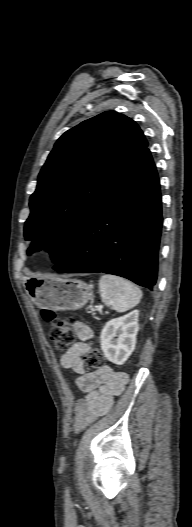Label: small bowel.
<instances>
[{
    "label": "small bowel",
    "mask_w": 192,
    "mask_h": 527,
    "mask_svg": "<svg viewBox=\"0 0 192 527\" xmlns=\"http://www.w3.org/2000/svg\"><path fill=\"white\" fill-rule=\"evenodd\" d=\"M73 328L80 342L68 348L60 358L65 369H71L78 376L75 380L78 389L85 394L74 406L73 422L76 431L81 430L94 419L107 413L113 405L115 396L120 395L128 381L126 373L114 371L105 366L94 372H87L83 356L89 346L85 342L92 336V331L83 323H75Z\"/></svg>",
    "instance_id": "obj_1"
}]
</instances>
